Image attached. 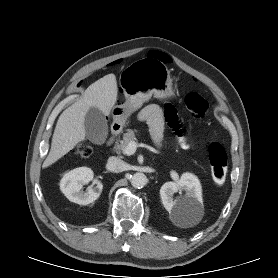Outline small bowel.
<instances>
[{
    "mask_svg": "<svg viewBox=\"0 0 278 278\" xmlns=\"http://www.w3.org/2000/svg\"><path fill=\"white\" fill-rule=\"evenodd\" d=\"M165 114L168 122L171 126L180 133L179 124L177 121L175 110L172 106L167 105L165 107ZM139 119L148 123L153 140L156 143H160L163 134V115L162 110L157 105H149L143 108L139 113ZM180 142L183 147H187V143L184 138L180 137Z\"/></svg>",
    "mask_w": 278,
    "mask_h": 278,
    "instance_id": "c3829d8e",
    "label": "small bowel"
}]
</instances>
